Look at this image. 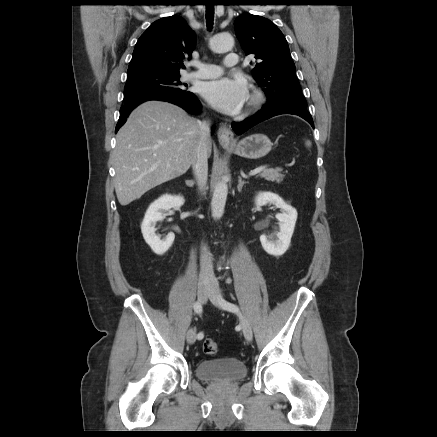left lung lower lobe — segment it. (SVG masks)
Returning a JSON list of instances; mask_svg holds the SVG:
<instances>
[{"label":"left lung lower lobe","mask_w":437,"mask_h":437,"mask_svg":"<svg viewBox=\"0 0 437 437\" xmlns=\"http://www.w3.org/2000/svg\"><path fill=\"white\" fill-rule=\"evenodd\" d=\"M281 114H293V115L300 116L303 119H305L307 122H309L310 125L314 128L313 119L310 113L307 111V109L298 106H292V105H278V106H271V107H263L262 110L257 112L254 116L248 118L246 121L233 123L232 128L236 134L240 135L245 131H247L249 128L253 127L254 125L264 120H267L271 117Z\"/></svg>","instance_id":"obj_1"}]
</instances>
